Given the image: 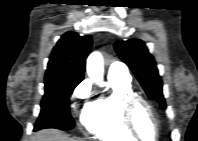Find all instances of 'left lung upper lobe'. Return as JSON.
I'll use <instances>...</instances> for the list:
<instances>
[{
  "label": "left lung upper lobe",
  "instance_id": "5c2ea615",
  "mask_svg": "<svg viewBox=\"0 0 198 141\" xmlns=\"http://www.w3.org/2000/svg\"><path fill=\"white\" fill-rule=\"evenodd\" d=\"M114 46L121 60L134 72L149 99L156 100L162 108H166L162 94V80L155 60L149 54L143 41L138 39L119 40Z\"/></svg>",
  "mask_w": 198,
  "mask_h": 141
}]
</instances>
